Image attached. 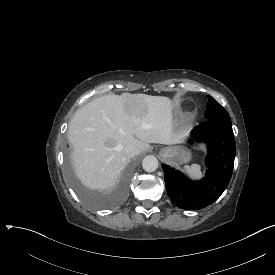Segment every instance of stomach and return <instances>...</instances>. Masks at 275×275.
<instances>
[{"instance_id": "obj_1", "label": "stomach", "mask_w": 275, "mask_h": 275, "mask_svg": "<svg viewBox=\"0 0 275 275\" xmlns=\"http://www.w3.org/2000/svg\"><path fill=\"white\" fill-rule=\"evenodd\" d=\"M160 156L163 159L171 158L173 161L179 163H187L191 159V153L181 146H168L161 150Z\"/></svg>"}]
</instances>
